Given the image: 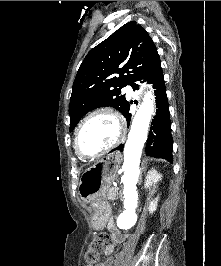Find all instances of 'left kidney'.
I'll return each instance as SVG.
<instances>
[{
	"mask_svg": "<svg viewBox=\"0 0 221 266\" xmlns=\"http://www.w3.org/2000/svg\"><path fill=\"white\" fill-rule=\"evenodd\" d=\"M162 175H160L155 169H152L148 172V175L146 177V182H145V187H150L152 184H156L159 180H161ZM158 200H159V195L153 199L152 201H150L149 203V213L153 214V212L156 211L157 209V204H158Z\"/></svg>",
	"mask_w": 221,
	"mask_h": 266,
	"instance_id": "5707ae66",
	"label": "left kidney"
}]
</instances>
